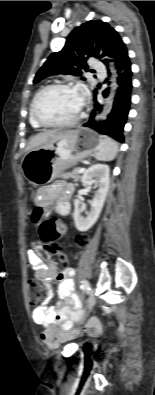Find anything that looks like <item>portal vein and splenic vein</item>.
<instances>
[{
  "label": "portal vein and splenic vein",
  "mask_w": 155,
  "mask_h": 395,
  "mask_svg": "<svg viewBox=\"0 0 155 395\" xmlns=\"http://www.w3.org/2000/svg\"><path fill=\"white\" fill-rule=\"evenodd\" d=\"M85 171V168H79L78 173H83Z\"/></svg>",
  "instance_id": "obj_1"
}]
</instances>
